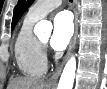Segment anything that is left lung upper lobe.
<instances>
[{"mask_svg":"<svg viewBox=\"0 0 107 89\" xmlns=\"http://www.w3.org/2000/svg\"><path fill=\"white\" fill-rule=\"evenodd\" d=\"M34 0H19L18 4L16 5L14 9V15L12 19V26L11 28L13 29L23 13L30 7V5L33 3Z\"/></svg>","mask_w":107,"mask_h":89,"instance_id":"obj_1","label":"left lung upper lobe"}]
</instances>
